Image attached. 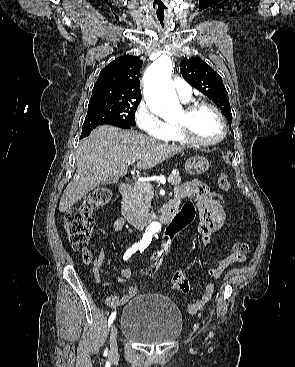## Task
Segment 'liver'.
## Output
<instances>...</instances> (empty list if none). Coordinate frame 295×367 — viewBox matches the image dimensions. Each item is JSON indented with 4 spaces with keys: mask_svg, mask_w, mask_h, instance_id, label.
I'll return each mask as SVG.
<instances>
[{
    "mask_svg": "<svg viewBox=\"0 0 295 367\" xmlns=\"http://www.w3.org/2000/svg\"><path fill=\"white\" fill-rule=\"evenodd\" d=\"M180 146L164 144L134 130L110 125L95 128L76 151V173L61 197L59 211L69 210L98 184L127 174L134 160L138 169H150L181 153Z\"/></svg>",
    "mask_w": 295,
    "mask_h": 367,
    "instance_id": "obj_1",
    "label": "liver"
}]
</instances>
